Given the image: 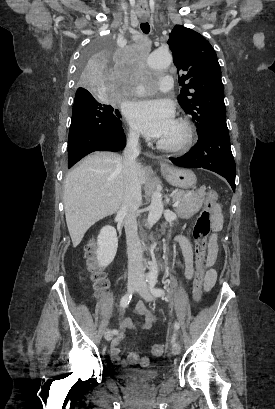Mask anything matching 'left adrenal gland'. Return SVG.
<instances>
[{"label": "left adrenal gland", "mask_w": 275, "mask_h": 409, "mask_svg": "<svg viewBox=\"0 0 275 409\" xmlns=\"http://www.w3.org/2000/svg\"><path fill=\"white\" fill-rule=\"evenodd\" d=\"M168 202H169V200H168V198H167V200H166V205H168Z\"/></svg>", "instance_id": "left-adrenal-gland-1"}]
</instances>
